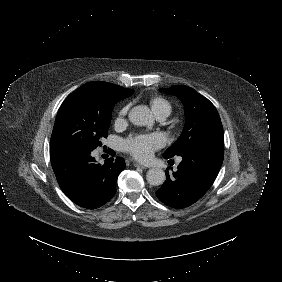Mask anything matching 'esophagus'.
<instances>
[{"mask_svg": "<svg viewBox=\"0 0 282 282\" xmlns=\"http://www.w3.org/2000/svg\"><path fill=\"white\" fill-rule=\"evenodd\" d=\"M134 166H135V167H138V168H141V169H147L146 166H144V165H142V164H140V163H134Z\"/></svg>", "mask_w": 282, "mask_h": 282, "instance_id": "1", "label": "esophagus"}]
</instances>
